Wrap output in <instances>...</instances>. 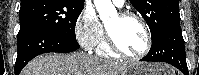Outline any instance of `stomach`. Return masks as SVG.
I'll use <instances>...</instances> for the list:
<instances>
[{
	"label": "stomach",
	"instance_id": "1",
	"mask_svg": "<svg viewBox=\"0 0 199 75\" xmlns=\"http://www.w3.org/2000/svg\"><path fill=\"white\" fill-rule=\"evenodd\" d=\"M168 66L161 63H136L124 75H169Z\"/></svg>",
	"mask_w": 199,
	"mask_h": 75
}]
</instances>
